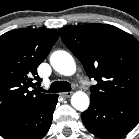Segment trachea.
<instances>
[{"instance_id":"1","label":"trachea","mask_w":139,"mask_h":139,"mask_svg":"<svg viewBox=\"0 0 139 139\" xmlns=\"http://www.w3.org/2000/svg\"><path fill=\"white\" fill-rule=\"evenodd\" d=\"M61 91L63 92L71 91L70 83L66 81H55L51 84L48 90L49 93H58Z\"/></svg>"}]
</instances>
